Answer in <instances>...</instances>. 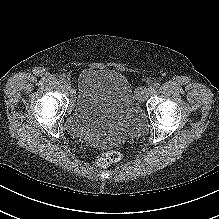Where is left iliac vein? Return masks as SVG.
Returning <instances> with one entry per match:
<instances>
[{"mask_svg":"<svg viewBox=\"0 0 219 219\" xmlns=\"http://www.w3.org/2000/svg\"><path fill=\"white\" fill-rule=\"evenodd\" d=\"M151 89L147 87H139L136 91V98L139 102H143L150 95Z\"/></svg>","mask_w":219,"mask_h":219,"instance_id":"left-iliac-vein-1","label":"left iliac vein"}]
</instances>
